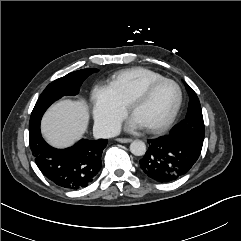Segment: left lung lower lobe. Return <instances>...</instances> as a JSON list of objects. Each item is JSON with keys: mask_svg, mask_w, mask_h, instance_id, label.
<instances>
[{"mask_svg": "<svg viewBox=\"0 0 241 241\" xmlns=\"http://www.w3.org/2000/svg\"><path fill=\"white\" fill-rule=\"evenodd\" d=\"M148 143L149 148L139 161L140 167L146 176L161 183L184 176L201 152L184 138L175 135L148 140Z\"/></svg>", "mask_w": 241, "mask_h": 241, "instance_id": "obj_1", "label": "left lung lower lobe"}]
</instances>
